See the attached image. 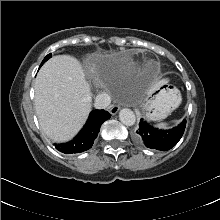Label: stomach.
<instances>
[{
  "label": "stomach",
  "mask_w": 220,
  "mask_h": 220,
  "mask_svg": "<svg viewBox=\"0 0 220 220\" xmlns=\"http://www.w3.org/2000/svg\"><path fill=\"white\" fill-rule=\"evenodd\" d=\"M155 91L156 94L145 102L144 107L150 120H161L179 106L181 95L178 89L167 82H160Z\"/></svg>",
  "instance_id": "stomach-1"
}]
</instances>
